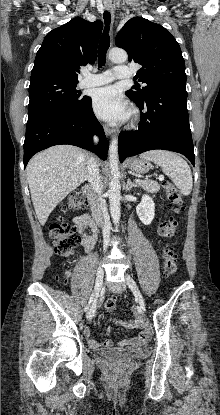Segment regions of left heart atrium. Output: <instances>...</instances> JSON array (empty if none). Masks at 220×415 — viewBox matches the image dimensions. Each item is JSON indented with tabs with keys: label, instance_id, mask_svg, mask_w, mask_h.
<instances>
[{
	"label": "left heart atrium",
	"instance_id": "obj_1",
	"mask_svg": "<svg viewBox=\"0 0 220 415\" xmlns=\"http://www.w3.org/2000/svg\"><path fill=\"white\" fill-rule=\"evenodd\" d=\"M92 106L96 115L107 121L124 120L129 115L127 104L114 86L96 90L93 93Z\"/></svg>",
	"mask_w": 220,
	"mask_h": 415
}]
</instances>
